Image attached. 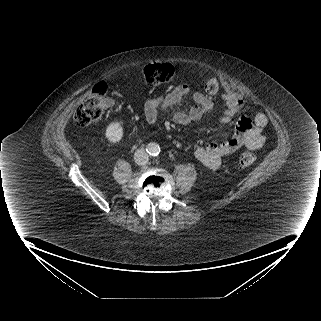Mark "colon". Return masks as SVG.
I'll return each mask as SVG.
<instances>
[{
    "instance_id": "obj_1",
    "label": "colon",
    "mask_w": 321,
    "mask_h": 321,
    "mask_svg": "<svg viewBox=\"0 0 321 321\" xmlns=\"http://www.w3.org/2000/svg\"><path fill=\"white\" fill-rule=\"evenodd\" d=\"M175 69L170 63H154L147 65L144 70V78L149 85L157 86L170 81ZM204 90L209 95H216L220 91V84L215 76L208 78L204 84ZM107 86L100 82L94 86L89 96L77 107L74 113V122L79 127L88 126L99 120L105 107ZM256 156L248 151L241 152L237 158L238 165L243 168L252 166Z\"/></svg>"
}]
</instances>
